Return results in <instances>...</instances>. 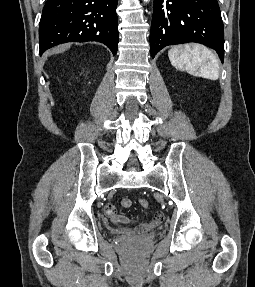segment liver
<instances>
[{"instance_id": "obj_1", "label": "liver", "mask_w": 255, "mask_h": 287, "mask_svg": "<svg viewBox=\"0 0 255 287\" xmlns=\"http://www.w3.org/2000/svg\"><path fill=\"white\" fill-rule=\"evenodd\" d=\"M71 44H62V46H57V48H52L48 54H63L65 50H68L70 48Z\"/></svg>"}]
</instances>
